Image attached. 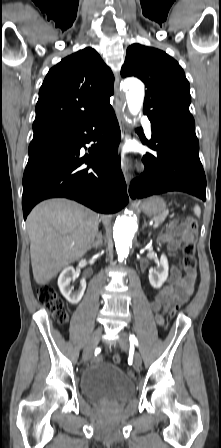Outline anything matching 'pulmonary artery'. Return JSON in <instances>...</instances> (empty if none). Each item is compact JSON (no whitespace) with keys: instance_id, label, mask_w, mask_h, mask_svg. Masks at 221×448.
Instances as JSON below:
<instances>
[{"instance_id":"e3ab8cb5","label":"pulmonary artery","mask_w":221,"mask_h":448,"mask_svg":"<svg viewBox=\"0 0 221 448\" xmlns=\"http://www.w3.org/2000/svg\"><path fill=\"white\" fill-rule=\"evenodd\" d=\"M143 123H144V127H145V131H146L147 136H148V137H151V135H152V129H151V123H150V121L147 120V119H144V120H143Z\"/></svg>"}]
</instances>
